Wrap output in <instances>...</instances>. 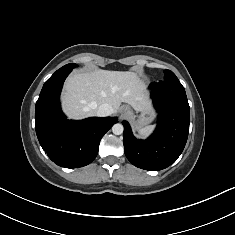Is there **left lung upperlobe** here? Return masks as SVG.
<instances>
[{"label":"left lung upper lobe","mask_w":235,"mask_h":235,"mask_svg":"<svg viewBox=\"0 0 235 235\" xmlns=\"http://www.w3.org/2000/svg\"><path fill=\"white\" fill-rule=\"evenodd\" d=\"M164 80L163 82H168V83H179L178 78L176 77V75L170 71V70H165L164 71Z\"/></svg>","instance_id":"1"}]
</instances>
